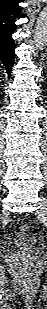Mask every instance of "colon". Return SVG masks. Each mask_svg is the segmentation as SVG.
<instances>
[{
    "label": "colon",
    "mask_w": 47,
    "mask_h": 309,
    "mask_svg": "<svg viewBox=\"0 0 47 309\" xmlns=\"http://www.w3.org/2000/svg\"><path fill=\"white\" fill-rule=\"evenodd\" d=\"M20 229H21L22 231H24V232H27V231L29 230V226H28L27 224H22V225L20 226Z\"/></svg>",
    "instance_id": "obj_1"
}]
</instances>
